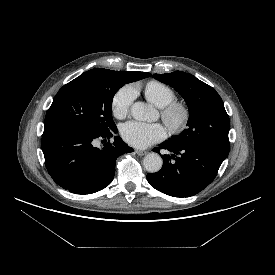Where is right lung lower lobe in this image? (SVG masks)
Segmentation results:
<instances>
[{
    "mask_svg": "<svg viewBox=\"0 0 275 275\" xmlns=\"http://www.w3.org/2000/svg\"><path fill=\"white\" fill-rule=\"evenodd\" d=\"M117 132V128L98 135L72 128L45 129L42 151L48 173L59 186L72 193L102 190L114 178L116 159L133 152L118 136L102 148L94 146L96 140L109 139Z\"/></svg>",
    "mask_w": 275,
    "mask_h": 275,
    "instance_id": "1",
    "label": "right lung lower lobe"
}]
</instances>
